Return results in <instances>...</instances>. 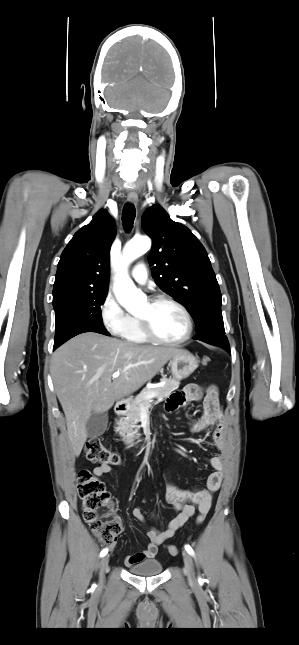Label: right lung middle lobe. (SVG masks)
Instances as JSON below:
<instances>
[{"instance_id":"obj_1","label":"right lung middle lobe","mask_w":299,"mask_h":645,"mask_svg":"<svg viewBox=\"0 0 299 645\" xmlns=\"http://www.w3.org/2000/svg\"><path fill=\"white\" fill-rule=\"evenodd\" d=\"M107 291L66 293L53 301L56 318L54 345H60L80 331L107 332L101 305Z\"/></svg>"}]
</instances>
